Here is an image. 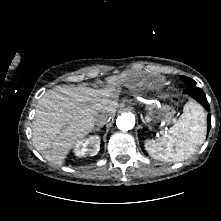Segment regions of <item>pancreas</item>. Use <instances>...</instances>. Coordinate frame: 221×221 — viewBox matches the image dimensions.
<instances>
[{
	"mask_svg": "<svg viewBox=\"0 0 221 221\" xmlns=\"http://www.w3.org/2000/svg\"><path fill=\"white\" fill-rule=\"evenodd\" d=\"M149 108H150V109H153V108H155V105H151Z\"/></svg>",
	"mask_w": 221,
	"mask_h": 221,
	"instance_id": "1",
	"label": "pancreas"
}]
</instances>
